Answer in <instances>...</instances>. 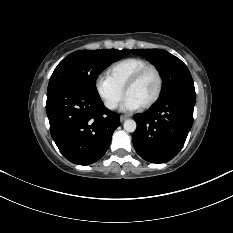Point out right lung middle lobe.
Masks as SVG:
<instances>
[{"label": "right lung middle lobe", "instance_id": "dd1d6c3e", "mask_svg": "<svg viewBox=\"0 0 233 233\" xmlns=\"http://www.w3.org/2000/svg\"><path fill=\"white\" fill-rule=\"evenodd\" d=\"M129 53L128 50H79L64 58L51 75L48 90L65 87L99 96L96 79L111 63Z\"/></svg>", "mask_w": 233, "mask_h": 233}]
</instances>
